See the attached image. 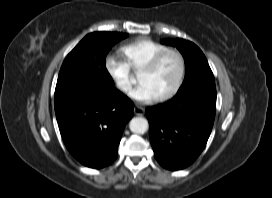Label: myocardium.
Returning <instances> with one entry per match:
<instances>
[{"mask_svg": "<svg viewBox=\"0 0 272 198\" xmlns=\"http://www.w3.org/2000/svg\"><path fill=\"white\" fill-rule=\"evenodd\" d=\"M169 54H174L178 57L180 61V72L177 78V81L173 88L166 94L156 97V100L159 102H164L172 99L181 89L185 76H186V60L183 53L174 48H168L157 53L140 71V73H150L154 71L162 60Z\"/></svg>", "mask_w": 272, "mask_h": 198, "instance_id": "myocardium-1", "label": "myocardium"}]
</instances>
